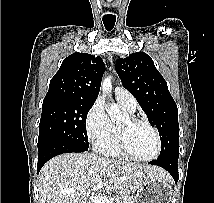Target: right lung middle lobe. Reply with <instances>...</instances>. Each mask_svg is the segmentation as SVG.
I'll list each match as a JSON object with an SVG mask.
<instances>
[{
    "label": "right lung middle lobe",
    "mask_w": 214,
    "mask_h": 203,
    "mask_svg": "<svg viewBox=\"0 0 214 203\" xmlns=\"http://www.w3.org/2000/svg\"><path fill=\"white\" fill-rule=\"evenodd\" d=\"M93 105L82 100H43L38 150L56 142L88 148L86 118Z\"/></svg>",
    "instance_id": "obj_1"
}]
</instances>
